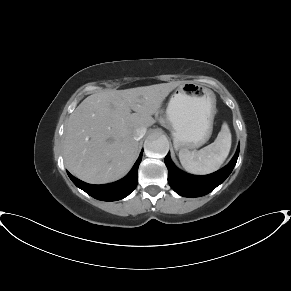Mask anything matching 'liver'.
Segmentation results:
<instances>
[{
	"label": "liver",
	"instance_id": "1",
	"mask_svg": "<svg viewBox=\"0 0 291 291\" xmlns=\"http://www.w3.org/2000/svg\"><path fill=\"white\" fill-rule=\"evenodd\" d=\"M180 84L106 90L85 98L69 116L65 129L63 156L67 169L92 184L124 177L139 153L134 131L155 123L152 115Z\"/></svg>",
	"mask_w": 291,
	"mask_h": 291
}]
</instances>
